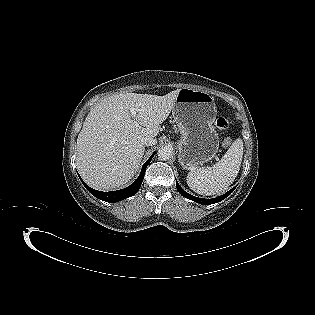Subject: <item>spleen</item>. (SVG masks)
<instances>
[{"label": "spleen", "instance_id": "spleen-1", "mask_svg": "<svg viewBox=\"0 0 315 315\" xmlns=\"http://www.w3.org/2000/svg\"><path fill=\"white\" fill-rule=\"evenodd\" d=\"M243 157V141L236 139L226 154L211 168H195L187 174V184L200 195H215L226 190L235 180Z\"/></svg>", "mask_w": 315, "mask_h": 315}]
</instances>
